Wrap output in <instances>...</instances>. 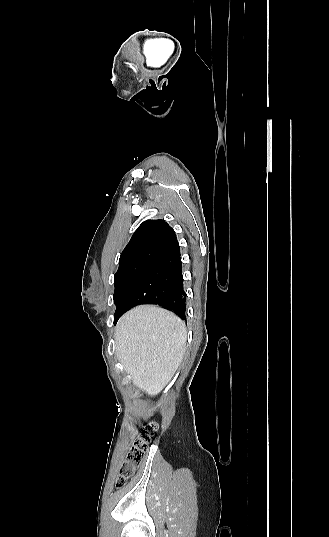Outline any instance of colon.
Returning <instances> with one entry per match:
<instances>
[{
	"label": "colon",
	"mask_w": 329,
	"mask_h": 537,
	"mask_svg": "<svg viewBox=\"0 0 329 537\" xmlns=\"http://www.w3.org/2000/svg\"><path fill=\"white\" fill-rule=\"evenodd\" d=\"M154 429L155 426H152L151 429H143L141 434L131 444L119 467L114 483L115 488L120 489L124 487L126 483L134 477L143 460Z\"/></svg>",
	"instance_id": "1"
}]
</instances>
